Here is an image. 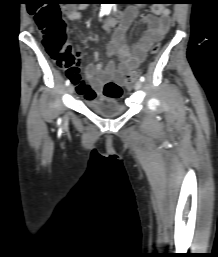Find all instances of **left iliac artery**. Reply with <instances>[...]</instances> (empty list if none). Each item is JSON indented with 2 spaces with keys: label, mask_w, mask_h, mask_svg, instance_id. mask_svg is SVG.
<instances>
[{
  "label": "left iliac artery",
  "mask_w": 218,
  "mask_h": 257,
  "mask_svg": "<svg viewBox=\"0 0 218 257\" xmlns=\"http://www.w3.org/2000/svg\"><path fill=\"white\" fill-rule=\"evenodd\" d=\"M144 80H145L144 76H141L140 81L144 82Z\"/></svg>",
  "instance_id": "1"
}]
</instances>
